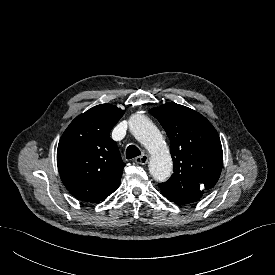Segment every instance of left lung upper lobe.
Masks as SVG:
<instances>
[{"label":"left lung upper lobe","mask_w":275,"mask_h":275,"mask_svg":"<svg viewBox=\"0 0 275 275\" xmlns=\"http://www.w3.org/2000/svg\"><path fill=\"white\" fill-rule=\"evenodd\" d=\"M170 141L174 173L158 184L163 195L175 203L195 202L219 179L223 151L212 124L200 113L166 103L150 110Z\"/></svg>","instance_id":"5c2ea615"}]
</instances>
